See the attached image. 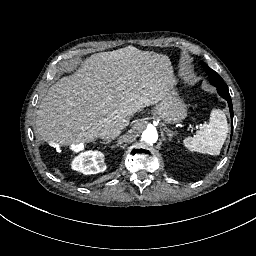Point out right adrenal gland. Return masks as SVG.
I'll return each instance as SVG.
<instances>
[{
    "label": "right adrenal gland",
    "mask_w": 256,
    "mask_h": 256,
    "mask_svg": "<svg viewBox=\"0 0 256 256\" xmlns=\"http://www.w3.org/2000/svg\"><path fill=\"white\" fill-rule=\"evenodd\" d=\"M110 142H111V140L109 139V140L104 141V142L101 141L100 143L106 145V144H109Z\"/></svg>",
    "instance_id": "1"
}]
</instances>
